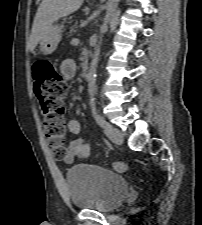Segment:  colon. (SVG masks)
<instances>
[{"label":"colon","mask_w":202,"mask_h":225,"mask_svg":"<svg viewBox=\"0 0 202 225\" xmlns=\"http://www.w3.org/2000/svg\"><path fill=\"white\" fill-rule=\"evenodd\" d=\"M35 91L42 115V124L55 157L61 158L67 152V128L64 121V99L68 84L58 72L55 63L39 59L32 66ZM117 172H124L128 165L117 162L113 165Z\"/></svg>","instance_id":"colon-1"}]
</instances>
